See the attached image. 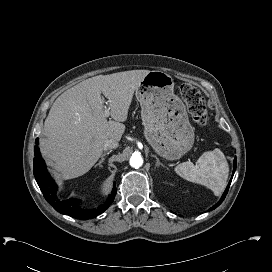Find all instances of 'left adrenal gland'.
<instances>
[{
    "mask_svg": "<svg viewBox=\"0 0 272 272\" xmlns=\"http://www.w3.org/2000/svg\"><path fill=\"white\" fill-rule=\"evenodd\" d=\"M151 156L154 157V158L156 159V166H157V167H158V166H162V167L168 169V167H166V166L159 160V158H158L156 155L151 154Z\"/></svg>",
    "mask_w": 272,
    "mask_h": 272,
    "instance_id": "obj_1",
    "label": "left adrenal gland"
}]
</instances>
